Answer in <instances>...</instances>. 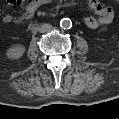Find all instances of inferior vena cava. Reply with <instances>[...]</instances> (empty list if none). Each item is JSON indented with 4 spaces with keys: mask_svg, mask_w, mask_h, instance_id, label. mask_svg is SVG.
<instances>
[{
    "mask_svg": "<svg viewBox=\"0 0 119 119\" xmlns=\"http://www.w3.org/2000/svg\"><path fill=\"white\" fill-rule=\"evenodd\" d=\"M52 29V25L48 23H44L39 27V31L44 33V32H49Z\"/></svg>",
    "mask_w": 119,
    "mask_h": 119,
    "instance_id": "602c4592",
    "label": "inferior vena cava"
}]
</instances>
